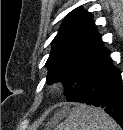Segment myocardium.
Wrapping results in <instances>:
<instances>
[{
  "label": "myocardium",
  "instance_id": "obj_1",
  "mask_svg": "<svg viewBox=\"0 0 123 130\" xmlns=\"http://www.w3.org/2000/svg\"><path fill=\"white\" fill-rule=\"evenodd\" d=\"M58 86H59L58 84H55V85H53V87H52V88H53V89H57V88H58Z\"/></svg>",
  "mask_w": 123,
  "mask_h": 130
}]
</instances>
